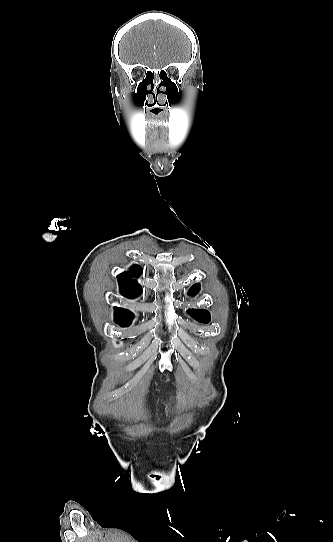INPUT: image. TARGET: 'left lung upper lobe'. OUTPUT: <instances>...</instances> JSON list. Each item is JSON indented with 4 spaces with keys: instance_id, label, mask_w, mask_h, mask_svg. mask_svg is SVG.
Listing matches in <instances>:
<instances>
[{
    "instance_id": "5c2ea615",
    "label": "left lung upper lobe",
    "mask_w": 333,
    "mask_h": 542,
    "mask_svg": "<svg viewBox=\"0 0 333 542\" xmlns=\"http://www.w3.org/2000/svg\"><path fill=\"white\" fill-rule=\"evenodd\" d=\"M198 289L199 285L196 284L190 289L189 292L190 294H195L197 293ZM191 315L199 322L207 323L210 320V314L205 310H192Z\"/></svg>"
}]
</instances>
